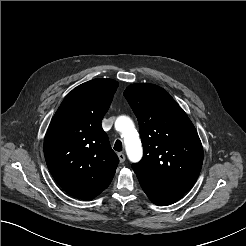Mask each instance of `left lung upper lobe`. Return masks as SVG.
Wrapping results in <instances>:
<instances>
[{"label":"left lung upper lobe","mask_w":246,"mask_h":246,"mask_svg":"<svg viewBox=\"0 0 246 246\" xmlns=\"http://www.w3.org/2000/svg\"><path fill=\"white\" fill-rule=\"evenodd\" d=\"M124 96L138 119L144 150L142 160L132 165L137 177L186 193L195 184L203 162L194 125L159 86L133 84Z\"/></svg>","instance_id":"left-lung-upper-lobe-1"}]
</instances>
